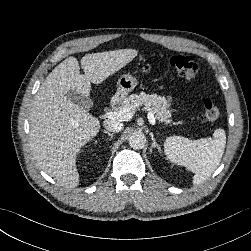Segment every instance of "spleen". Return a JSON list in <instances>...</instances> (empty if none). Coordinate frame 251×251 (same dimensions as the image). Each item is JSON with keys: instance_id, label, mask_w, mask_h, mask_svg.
Instances as JSON below:
<instances>
[{"instance_id": "obj_1", "label": "spleen", "mask_w": 251, "mask_h": 251, "mask_svg": "<svg viewBox=\"0 0 251 251\" xmlns=\"http://www.w3.org/2000/svg\"><path fill=\"white\" fill-rule=\"evenodd\" d=\"M226 134L217 129L213 138L190 140L181 136L168 137L164 143V153L171 162L185 166L195 173L193 184L205 181L215 171L224 153Z\"/></svg>"}]
</instances>
